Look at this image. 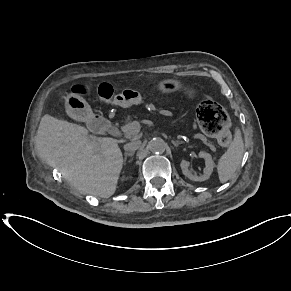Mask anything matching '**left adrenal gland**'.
<instances>
[{
  "mask_svg": "<svg viewBox=\"0 0 291 291\" xmlns=\"http://www.w3.org/2000/svg\"><path fill=\"white\" fill-rule=\"evenodd\" d=\"M172 143L175 147H177L179 144H182L181 141H174V140H172Z\"/></svg>",
  "mask_w": 291,
  "mask_h": 291,
  "instance_id": "obj_1",
  "label": "left adrenal gland"
}]
</instances>
